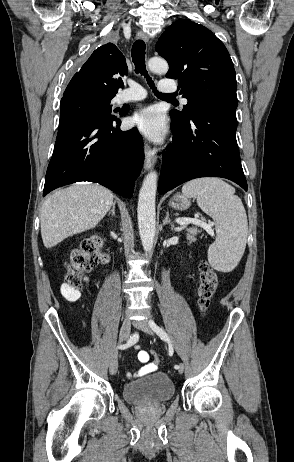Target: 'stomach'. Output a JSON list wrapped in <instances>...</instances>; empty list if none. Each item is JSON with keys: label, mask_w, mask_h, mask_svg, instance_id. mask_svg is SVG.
Returning a JSON list of instances; mask_svg holds the SVG:
<instances>
[{"label": "stomach", "mask_w": 294, "mask_h": 462, "mask_svg": "<svg viewBox=\"0 0 294 462\" xmlns=\"http://www.w3.org/2000/svg\"><path fill=\"white\" fill-rule=\"evenodd\" d=\"M169 205L177 210H185L189 208L190 206V200L185 197L184 195L181 194H176L174 197L171 199Z\"/></svg>", "instance_id": "1"}]
</instances>
